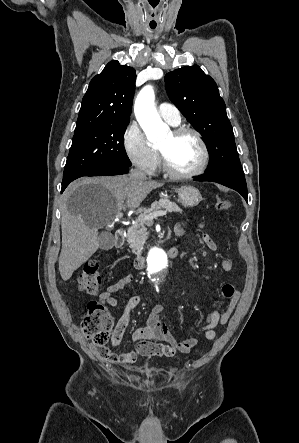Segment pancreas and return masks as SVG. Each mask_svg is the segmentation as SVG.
Masks as SVG:
<instances>
[{
	"mask_svg": "<svg viewBox=\"0 0 299 443\" xmlns=\"http://www.w3.org/2000/svg\"><path fill=\"white\" fill-rule=\"evenodd\" d=\"M161 208H164L168 212H182L179 206L175 202H171L169 199L165 198L153 202L150 208L145 209L135 220V223L128 229L127 241L134 254H140L142 252L143 245L147 238L146 225H149L152 222L146 220L145 217L151 213L159 211Z\"/></svg>",
	"mask_w": 299,
	"mask_h": 443,
	"instance_id": "pancreas-1",
	"label": "pancreas"
}]
</instances>
